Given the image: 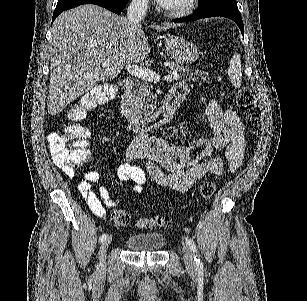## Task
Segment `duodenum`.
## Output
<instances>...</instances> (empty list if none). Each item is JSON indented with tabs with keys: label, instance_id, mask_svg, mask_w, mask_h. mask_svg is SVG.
Here are the masks:
<instances>
[{
	"label": "duodenum",
	"instance_id": "obj_1",
	"mask_svg": "<svg viewBox=\"0 0 307 301\" xmlns=\"http://www.w3.org/2000/svg\"><path fill=\"white\" fill-rule=\"evenodd\" d=\"M133 88L134 82L131 79H126L123 82L120 110L121 114L127 119L133 130L138 133L151 131L169 122L184 99L183 95L171 90L161 106L152 115L141 117L137 114L132 105Z\"/></svg>",
	"mask_w": 307,
	"mask_h": 301
}]
</instances>
